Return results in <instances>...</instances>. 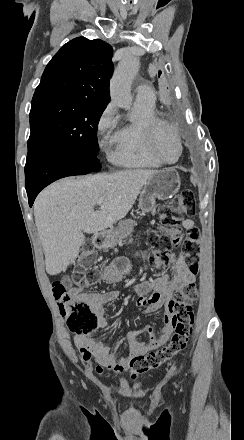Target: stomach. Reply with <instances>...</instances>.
Segmentation results:
<instances>
[{
	"instance_id": "1",
	"label": "stomach",
	"mask_w": 244,
	"mask_h": 440,
	"mask_svg": "<svg viewBox=\"0 0 244 440\" xmlns=\"http://www.w3.org/2000/svg\"><path fill=\"white\" fill-rule=\"evenodd\" d=\"M181 186V180L177 170L174 168H164V170H158L154 176H151L144 184V188L139 198V208L142 212H151L153 210L156 200H170L174 194L179 192ZM130 234L132 232V226L128 222H121L118 230L114 232H104L100 248H109L112 244V234Z\"/></svg>"
}]
</instances>
